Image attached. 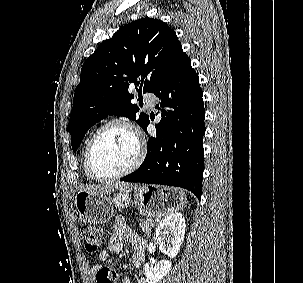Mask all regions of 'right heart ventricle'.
Wrapping results in <instances>:
<instances>
[{
	"mask_svg": "<svg viewBox=\"0 0 303 283\" xmlns=\"http://www.w3.org/2000/svg\"><path fill=\"white\" fill-rule=\"evenodd\" d=\"M89 140H90V138L87 140V142H86V144H85V146H84V149H83L82 166H83V171H84L85 176H86L88 179H90V180H94V179L90 176V174H89V172H88V170H87L86 164H85V151H86V147H87V144H88Z\"/></svg>",
	"mask_w": 303,
	"mask_h": 283,
	"instance_id": "obj_1",
	"label": "right heart ventricle"
}]
</instances>
